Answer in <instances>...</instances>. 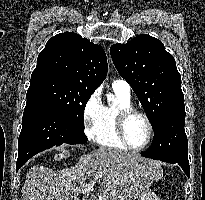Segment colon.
Returning a JSON list of instances; mask_svg holds the SVG:
<instances>
[{
	"mask_svg": "<svg viewBox=\"0 0 205 200\" xmlns=\"http://www.w3.org/2000/svg\"><path fill=\"white\" fill-rule=\"evenodd\" d=\"M63 157H65V154L60 155L58 158L61 159V158H63Z\"/></svg>",
	"mask_w": 205,
	"mask_h": 200,
	"instance_id": "5ec220e1",
	"label": "colon"
}]
</instances>
